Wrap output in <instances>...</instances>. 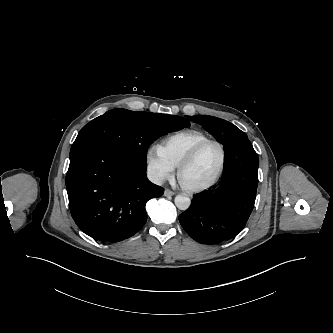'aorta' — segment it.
<instances>
[{
	"label": "aorta",
	"instance_id": "aorta-1",
	"mask_svg": "<svg viewBox=\"0 0 333 333\" xmlns=\"http://www.w3.org/2000/svg\"><path fill=\"white\" fill-rule=\"evenodd\" d=\"M174 202L176 207L180 210H187L191 204L190 198L184 195H177Z\"/></svg>",
	"mask_w": 333,
	"mask_h": 333
}]
</instances>
